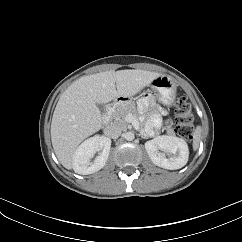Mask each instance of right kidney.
<instances>
[{
  "instance_id": "1",
  "label": "right kidney",
  "mask_w": 242,
  "mask_h": 242,
  "mask_svg": "<svg viewBox=\"0 0 242 242\" xmlns=\"http://www.w3.org/2000/svg\"><path fill=\"white\" fill-rule=\"evenodd\" d=\"M111 140L104 136H94L81 143L73 155V169L81 175L95 173L102 169L109 156ZM101 151L93 162L95 153Z\"/></svg>"
}]
</instances>
